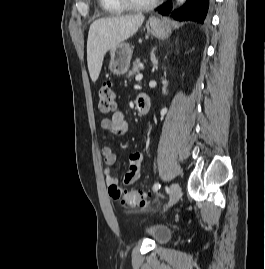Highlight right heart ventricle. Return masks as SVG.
Listing matches in <instances>:
<instances>
[{"mask_svg": "<svg viewBox=\"0 0 265 269\" xmlns=\"http://www.w3.org/2000/svg\"><path fill=\"white\" fill-rule=\"evenodd\" d=\"M98 1L100 7L107 13L119 14L127 9L118 0H98Z\"/></svg>", "mask_w": 265, "mask_h": 269, "instance_id": "1", "label": "right heart ventricle"}]
</instances>
